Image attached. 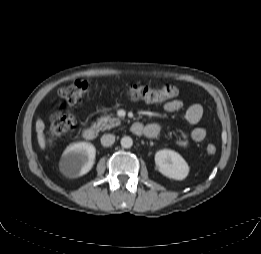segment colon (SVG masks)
<instances>
[{
  "mask_svg": "<svg viewBox=\"0 0 261 254\" xmlns=\"http://www.w3.org/2000/svg\"><path fill=\"white\" fill-rule=\"evenodd\" d=\"M89 91V83L86 80H76L70 85L62 88L59 92L60 98L69 105L80 102ZM178 89L171 84H163L157 88L134 83L128 88V94L134 99L158 102L172 99L178 95ZM75 118L69 112L58 113L51 118L49 133L52 136L63 135L74 128ZM207 155L216 154L217 148L214 144H207L205 147Z\"/></svg>",
  "mask_w": 261,
  "mask_h": 254,
  "instance_id": "5ec220e1",
  "label": "colon"
}]
</instances>
